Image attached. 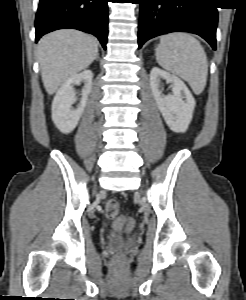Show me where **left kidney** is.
Returning <instances> with one entry per match:
<instances>
[{"instance_id":"5707ae66","label":"left kidney","mask_w":246,"mask_h":300,"mask_svg":"<svg viewBox=\"0 0 246 300\" xmlns=\"http://www.w3.org/2000/svg\"><path fill=\"white\" fill-rule=\"evenodd\" d=\"M162 80L171 83L172 94H162ZM150 86L158 109L168 127L177 133H184L193 117L195 99L185 83L175 75L154 67L150 73Z\"/></svg>"}]
</instances>
